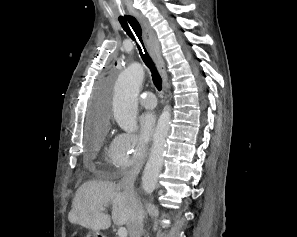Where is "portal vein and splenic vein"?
<instances>
[{
	"instance_id": "portal-vein-and-splenic-vein-1",
	"label": "portal vein and splenic vein",
	"mask_w": 297,
	"mask_h": 237,
	"mask_svg": "<svg viewBox=\"0 0 297 237\" xmlns=\"http://www.w3.org/2000/svg\"><path fill=\"white\" fill-rule=\"evenodd\" d=\"M102 211L105 210V207L101 208ZM118 236L119 237H127V230L124 227H120L118 230Z\"/></svg>"
}]
</instances>
